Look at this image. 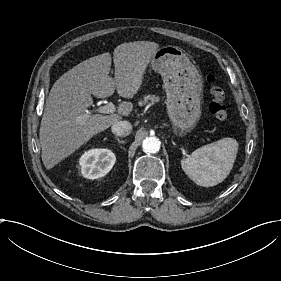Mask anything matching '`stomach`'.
I'll use <instances>...</instances> for the list:
<instances>
[{"instance_id": "stomach-1", "label": "stomach", "mask_w": 281, "mask_h": 281, "mask_svg": "<svg viewBox=\"0 0 281 281\" xmlns=\"http://www.w3.org/2000/svg\"><path fill=\"white\" fill-rule=\"evenodd\" d=\"M151 67L162 76L172 128L184 136L196 126L201 116V72L181 48L172 45L156 50L151 58Z\"/></svg>"}]
</instances>
